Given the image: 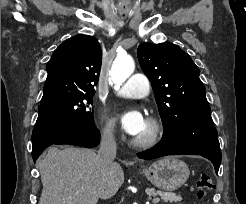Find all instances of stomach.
Segmentation results:
<instances>
[{
	"label": "stomach",
	"mask_w": 246,
	"mask_h": 204,
	"mask_svg": "<svg viewBox=\"0 0 246 204\" xmlns=\"http://www.w3.org/2000/svg\"><path fill=\"white\" fill-rule=\"evenodd\" d=\"M142 174L156 187L165 191H175L188 179L187 164L175 157H164L142 170Z\"/></svg>",
	"instance_id": "0dacf381"
}]
</instances>
